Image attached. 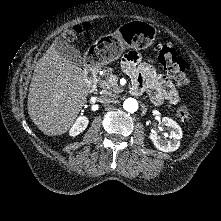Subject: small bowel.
<instances>
[{"label": "small bowel", "mask_w": 221, "mask_h": 221, "mask_svg": "<svg viewBox=\"0 0 221 221\" xmlns=\"http://www.w3.org/2000/svg\"><path fill=\"white\" fill-rule=\"evenodd\" d=\"M123 69L132 77L134 91H146L154 104L160 105L168 101L176 105L179 102L176 86L181 84L159 74L149 63L142 61L137 52L131 51L125 54Z\"/></svg>", "instance_id": "1"}]
</instances>
